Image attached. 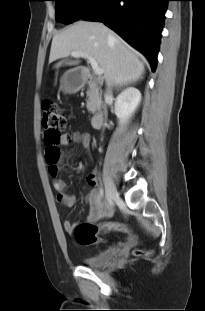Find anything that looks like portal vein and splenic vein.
<instances>
[{"instance_id":"1","label":"portal vein and splenic vein","mask_w":205,"mask_h":311,"mask_svg":"<svg viewBox=\"0 0 205 311\" xmlns=\"http://www.w3.org/2000/svg\"><path fill=\"white\" fill-rule=\"evenodd\" d=\"M71 56L76 57V58L82 57V58L87 59L96 75H102L103 74V69L98 65V63L96 62V60L93 57H90V56L83 54V53H80V52H72Z\"/></svg>"}]
</instances>
